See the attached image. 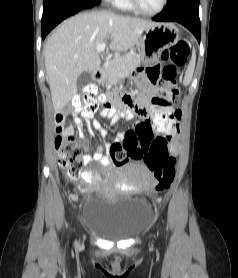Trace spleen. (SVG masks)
Instances as JSON below:
<instances>
[{"label":"spleen","mask_w":238,"mask_h":278,"mask_svg":"<svg viewBox=\"0 0 238 278\" xmlns=\"http://www.w3.org/2000/svg\"><path fill=\"white\" fill-rule=\"evenodd\" d=\"M195 61H196V54H195V51H193L191 61L185 72V76H184V80H183L184 85H189V83L192 80L194 68H195Z\"/></svg>","instance_id":"spleen-1"}]
</instances>
